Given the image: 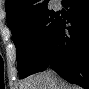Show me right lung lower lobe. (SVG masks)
Masks as SVG:
<instances>
[{
	"mask_svg": "<svg viewBox=\"0 0 89 89\" xmlns=\"http://www.w3.org/2000/svg\"><path fill=\"white\" fill-rule=\"evenodd\" d=\"M62 4L69 8L68 19L60 20L36 72L51 67L68 82L86 88L89 82V3L62 0ZM66 22L71 26L66 27Z\"/></svg>",
	"mask_w": 89,
	"mask_h": 89,
	"instance_id": "obj_1",
	"label": "right lung lower lobe"
}]
</instances>
